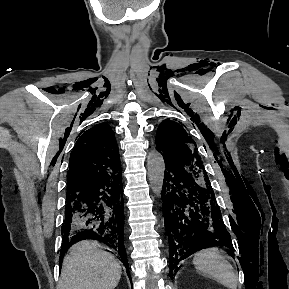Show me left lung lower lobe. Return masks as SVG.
I'll return each instance as SVG.
<instances>
[{"instance_id": "left-lung-lower-lobe-1", "label": "left lung lower lobe", "mask_w": 289, "mask_h": 289, "mask_svg": "<svg viewBox=\"0 0 289 289\" xmlns=\"http://www.w3.org/2000/svg\"><path fill=\"white\" fill-rule=\"evenodd\" d=\"M165 168L161 194L172 278L178 263L191 254L211 246H233L211 184L168 163Z\"/></svg>"}]
</instances>
